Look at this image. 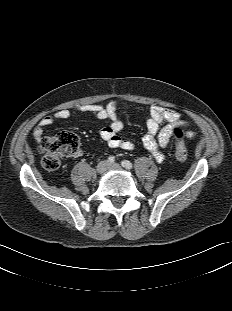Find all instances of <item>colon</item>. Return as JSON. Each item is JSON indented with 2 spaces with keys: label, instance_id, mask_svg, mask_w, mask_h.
<instances>
[{
  "label": "colon",
  "instance_id": "obj_1",
  "mask_svg": "<svg viewBox=\"0 0 232 311\" xmlns=\"http://www.w3.org/2000/svg\"><path fill=\"white\" fill-rule=\"evenodd\" d=\"M173 137L177 159L185 160L188 156V149L183 142V131L178 127L174 128ZM78 145V137L68 131H62L42 138L39 142V150L43 155V167L47 170L58 169L63 159L73 154L77 150Z\"/></svg>",
  "mask_w": 232,
  "mask_h": 311
}]
</instances>
